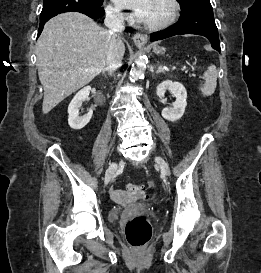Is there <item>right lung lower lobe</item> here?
Wrapping results in <instances>:
<instances>
[{"label":"right lung lower lobe","mask_w":261,"mask_h":273,"mask_svg":"<svg viewBox=\"0 0 261 273\" xmlns=\"http://www.w3.org/2000/svg\"><path fill=\"white\" fill-rule=\"evenodd\" d=\"M101 5V3L89 0H44L43 9L40 14L38 37L43 30L44 24L50 18L63 12H81L92 19H100L105 14L104 8ZM46 7H50L51 9L48 10Z\"/></svg>","instance_id":"1"}]
</instances>
